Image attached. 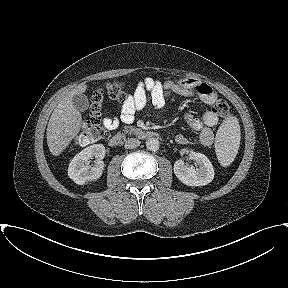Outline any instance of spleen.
<instances>
[{"label": "spleen", "instance_id": "3e777b00", "mask_svg": "<svg viewBox=\"0 0 288 288\" xmlns=\"http://www.w3.org/2000/svg\"><path fill=\"white\" fill-rule=\"evenodd\" d=\"M238 119L229 115L219 127L215 138V151L222 166L230 165L236 157L240 145Z\"/></svg>", "mask_w": 288, "mask_h": 288}]
</instances>
